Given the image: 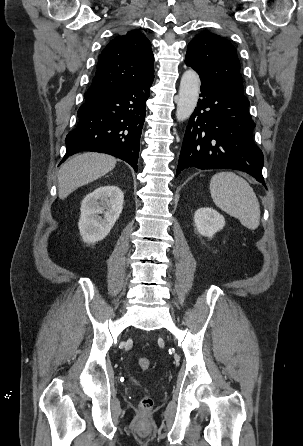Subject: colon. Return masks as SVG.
I'll use <instances>...</instances> for the list:
<instances>
[{
    "label": "colon",
    "instance_id": "1",
    "mask_svg": "<svg viewBox=\"0 0 303 446\" xmlns=\"http://www.w3.org/2000/svg\"><path fill=\"white\" fill-rule=\"evenodd\" d=\"M138 366L141 370L147 371L151 366L150 360L146 357H140L138 359ZM152 405L153 401L148 396L143 397L140 401V407L143 411H149L152 408Z\"/></svg>",
    "mask_w": 303,
    "mask_h": 446
}]
</instances>
